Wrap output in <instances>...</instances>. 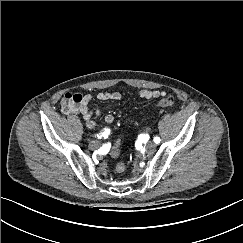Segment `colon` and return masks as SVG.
<instances>
[{
	"label": "colon",
	"instance_id": "1",
	"mask_svg": "<svg viewBox=\"0 0 243 243\" xmlns=\"http://www.w3.org/2000/svg\"><path fill=\"white\" fill-rule=\"evenodd\" d=\"M84 96L81 94H71L67 93L63 96L60 106L64 113H74L78 107L82 104ZM176 102V99L173 95H168L163 97L159 102L158 106L160 107H170L173 106ZM120 148H121V141L118 139L111 148V156L116 158L117 161L115 163V171L118 174H121L126 169V163L123 159H120Z\"/></svg>",
	"mask_w": 243,
	"mask_h": 243
}]
</instances>
